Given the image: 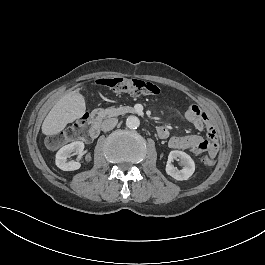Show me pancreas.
Listing matches in <instances>:
<instances>
[{
	"label": "pancreas",
	"instance_id": "obj_1",
	"mask_svg": "<svg viewBox=\"0 0 265 265\" xmlns=\"http://www.w3.org/2000/svg\"><path fill=\"white\" fill-rule=\"evenodd\" d=\"M126 113H135V109L130 106H121L118 108L109 107L105 109V115L108 117H114V116L123 115Z\"/></svg>",
	"mask_w": 265,
	"mask_h": 265
}]
</instances>
